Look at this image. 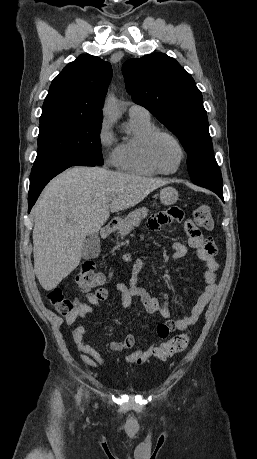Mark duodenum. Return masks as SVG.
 I'll list each match as a JSON object with an SVG mask.
<instances>
[{
	"label": "duodenum",
	"instance_id": "obj_1",
	"mask_svg": "<svg viewBox=\"0 0 257 459\" xmlns=\"http://www.w3.org/2000/svg\"><path fill=\"white\" fill-rule=\"evenodd\" d=\"M117 221L113 220L107 223L100 231V234L103 238H107L111 235L115 227L117 226Z\"/></svg>",
	"mask_w": 257,
	"mask_h": 459
}]
</instances>
